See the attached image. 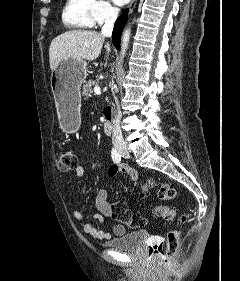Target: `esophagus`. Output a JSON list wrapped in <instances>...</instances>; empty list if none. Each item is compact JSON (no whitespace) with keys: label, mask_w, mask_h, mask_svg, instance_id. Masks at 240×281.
Wrapping results in <instances>:
<instances>
[{"label":"esophagus","mask_w":240,"mask_h":281,"mask_svg":"<svg viewBox=\"0 0 240 281\" xmlns=\"http://www.w3.org/2000/svg\"><path fill=\"white\" fill-rule=\"evenodd\" d=\"M136 2H137V0H131L130 4L128 6L129 11L133 10V8L136 5Z\"/></svg>","instance_id":"obj_1"}]
</instances>
